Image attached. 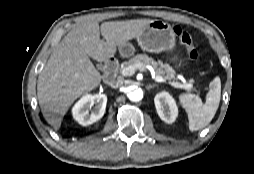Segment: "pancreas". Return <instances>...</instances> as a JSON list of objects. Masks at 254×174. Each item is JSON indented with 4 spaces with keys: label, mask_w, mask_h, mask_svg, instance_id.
<instances>
[{
    "label": "pancreas",
    "mask_w": 254,
    "mask_h": 174,
    "mask_svg": "<svg viewBox=\"0 0 254 174\" xmlns=\"http://www.w3.org/2000/svg\"><path fill=\"white\" fill-rule=\"evenodd\" d=\"M135 64H141L143 66L150 65L154 69L156 76H161L169 81L173 80L176 75L175 70L169 64H164L162 61L156 62L152 57L146 54H137L129 61L124 62L120 68V72L123 68Z\"/></svg>",
    "instance_id": "pancreas-1"
}]
</instances>
